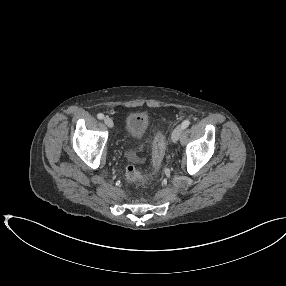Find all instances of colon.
Returning <instances> with one entry per match:
<instances>
[{"label": "colon", "instance_id": "1", "mask_svg": "<svg viewBox=\"0 0 286 286\" xmlns=\"http://www.w3.org/2000/svg\"><path fill=\"white\" fill-rule=\"evenodd\" d=\"M165 153V137L162 132H158L153 140L152 145V172L155 173L161 167L164 159ZM128 157L133 159L135 157L134 153H129ZM126 178L131 181H139L144 178V175L141 174L137 168L130 163L126 167Z\"/></svg>", "mask_w": 286, "mask_h": 286}]
</instances>
